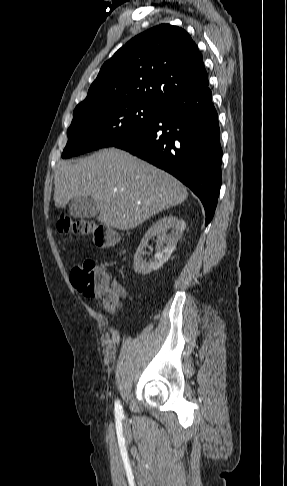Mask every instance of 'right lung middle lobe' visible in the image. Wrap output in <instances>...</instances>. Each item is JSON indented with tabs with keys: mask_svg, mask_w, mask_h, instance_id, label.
<instances>
[{
	"mask_svg": "<svg viewBox=\"0 0 287 486\" xmlns=\"http://www.w3.org/2000/svg\"><path fill=\"white\" fill-rule=\"evenodd\" d=\"M160 109L154 101L116 100L74 111L62 157L127 142L141 133Z\"/></svg>",
	"mask_w": 287,
	"mask_h": 486,
	"instance_id": "right-lung-middle-lobe-1",
	"label": "right lung middle lobe"
}]
</instances>
